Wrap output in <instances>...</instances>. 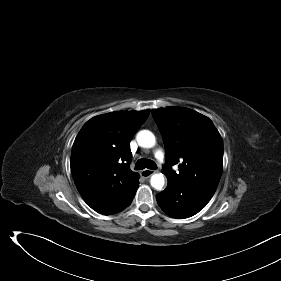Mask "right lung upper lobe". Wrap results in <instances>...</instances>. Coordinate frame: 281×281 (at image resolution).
<instances>
[{
  "mask_svg": "<svg viewBox=\"0 0 281 281\" xmlns=\"http://www.w3.org/2000/svg\"><path fill=\"white\" fill-rule=\"evenodd\" d=\"M150 111H119L88 120L71 153L75 185L96 212L109 215L132 202L139 174L130 170V141Z\"/></svg>",
  "mask_w": 281,
  "mask_h": 281,
  "instance_id": "cb5924a9",
  "label": "right lung upper lobe"
}]
</instances>
